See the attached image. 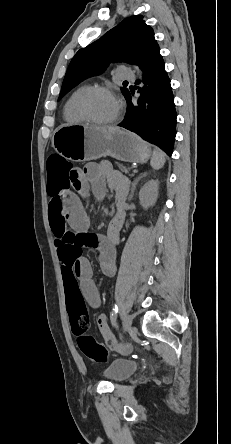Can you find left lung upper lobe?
Returning a JSON list of instances; mask_svg holds the SVG:
<instances>
[{"label":"left lung upper lobe","mask_w":231,"mask_h":444,"mask_svg":"<svg viewBox=\"0 0 231 444\" xmlns=\"http://www.w3.org/2000/svg\"><path fill=\"white\" fill-rule=\"evenodd\" d=\"M159 49L154 31L145 23L143 16L126 18L75 54L68 66L58 100L81 81L103 73L111 61H125L142 68ZM122 92L126 95L128 89L122 88Z\"/></svg>","instance_id":"left-lung-upper-lobe-1"}]
</instances>
